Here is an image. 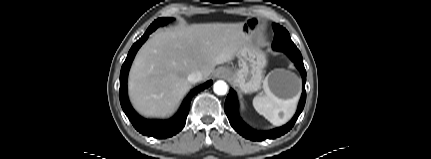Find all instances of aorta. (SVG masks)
<instances>
[{
	"mask_svg": "<svg viewBox=\"0 0 431 159\" xmlns=\"http://www.w3.org/2000/svg\"><path fill=\"white\" fill-rule=\"evenodd\" d=\"M213 90L217 95H225L227 93L228 86L226 82L219 80L215 82Z\"/></svg>",
	"mask_w": 431,
	"mask_h": 159,
	"instance_id": "aorta-1",
	"label": "aorta"
}]
</instances>
